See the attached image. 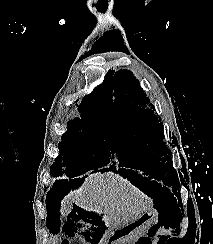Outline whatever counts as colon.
<instances>
[{
  "label": "colon",
  "mask_w": 213,
  "mask_h": 244,
  "mask_svg": "<svg viewBox=\"0 0 213 244\" xmlns=\"http://www.w3.org/2000/svg\"><path fill=\"white\" fill-rule=\"evenodd\" d=\"M60 244H72L69 240H67V239H64V240H62L61 242H60ZM74 244H82V243H80V242H76V243H74Z\"/></svg>",
  "instance_id": "colon-1"
}]
</instances>
